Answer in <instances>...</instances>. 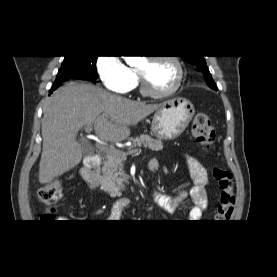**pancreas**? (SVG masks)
<instances>
[{
	"label": "pancreas",
	"instance_id": "obj_1",
	"mask_svg": "<svg viewBox=\"0 0 277 277\" xmlns=\"http://www.w3.org/2000/svg\"><path fill=\"white\" fill-rule=\"evenodd\" d=\"M132 147L127 153L118 151L116 153L107 156V160L104 165L97 173L100 175L98 181L100 182L101 188L112 196L121 194L124 190L125 184H128V175L125 173L123 168V162L126 160L128 154L134 152L135 147L149 148L152 151H160L163 149L161 140L153 139L149 135H140L132 139Z\"/></svg>",
	"mask_w": 277,
	"mask_h": 277
}]
</instances>
